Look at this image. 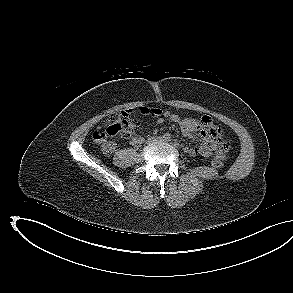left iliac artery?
<instances>
[{
	"label": "left iliac artery",
	"instance_id": "left-iliac-artery-1",
	"mask_svg": "<svg viewBox=\"0 0 293 293\" xmlns=\"http://www.w3.org/2000/svg\"><path fill=\"white\" fill-rule=\"evenodd\" d=\"M175 146H178L179 144L177 142L174 143Z\"/></svg>",
	"mask_w": 293,
	"mask_h": 293
}]
</instances>
